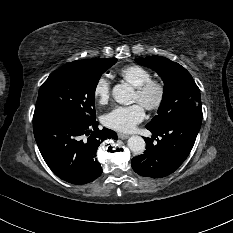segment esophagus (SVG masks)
I'll list each match as a JSON object with an SVG mask.
<instances>
[{"label": "esophagus", "instance_id": "34e87169", "mask_svg": "<svg viewBox=\"0 0 233 233\" xmlns=\"http://www.w3.org/2000/svg\"><path fill=\"white\" fill-rule=\"evenodd\" d=\"M118 137L122 140H125L127 138H129V135H126V134H122V133H118Z\"/></svg>", "mask_w": 233, "mask_h": 233}]
</instances>
